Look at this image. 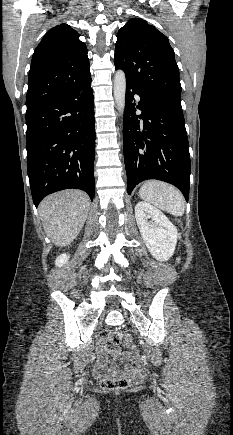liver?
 <instances>
[{
	"instance_id": "6515ba94",
	"label": "liver",
	"mask_w": 233,
	"mask_h": 435,
	"mask_svg": "<svg viewBox=\"0 0 233 435\" xmlns=\"http://www.w3.org/2000/svg\"><path fill=\"white\" fill-rule=\"evenodd\" d=\"M89 210V197L81 190H64L51 194L38 208L45 233L60 247L71 244L78 236Z\"/></svg>"
}]
</instances>
